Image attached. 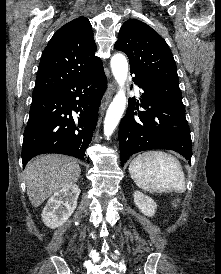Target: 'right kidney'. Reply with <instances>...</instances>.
Wrapping results in <instances>:
<instances>
[{"label":"right kidney","instance_id":"ca27d5eb","mask_svg":"<svg viewBox=\"0 0 221 274\" xmlns=\"http://www.w3.org/2000/svg\"><path fill=\"white\" fill-rule=\"evenodd\" d=\"M80 189L76 184L68 185L50 197L42 212V220L52 229L63 225L77 207Z\"/></svg>","mask_w":221,"mask_h":274}]
</instances>
